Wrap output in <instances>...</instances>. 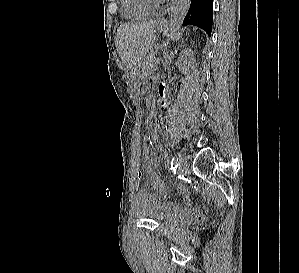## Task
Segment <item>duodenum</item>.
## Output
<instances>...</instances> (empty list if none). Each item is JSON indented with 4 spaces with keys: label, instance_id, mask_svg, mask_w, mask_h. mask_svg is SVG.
<instances>
[{
    "label": "duodenum",
    "instance_id": "obj_1",
    "mask_svg": "<svg viewBox=\"0 0 299 273\" xmlns=\"http://www.w3.org/2000/svg\"><path fill=\"white\" fill-rule=\"evenodd\" d=\"M166 106V99L164 97H162V99L159 101L157 108L159 110L164 109Z\"/></svg>",
    "mask_w": 299,
    "mask_h": 273
}]
</instances>
